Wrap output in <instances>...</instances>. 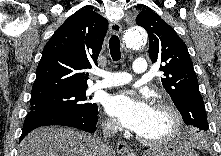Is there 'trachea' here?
<instances>
[{
    "mask_svg": "<svg viewBox=\"0 0 221 156\" xmlns=\"http://www.w3.org/2000/svg\"><path fill=\"white\" fill-rule=\"evenodd\" d=\"M110 54L113 61H119L121 59L120 40L117 35H112L109 40Z\"/></svg>",
    "mask_w": 221,
    "mask_h": 156,
    "instance_id": "trachea-1",
    "label": "trachea"
}]
</instances>
